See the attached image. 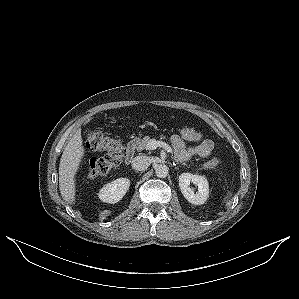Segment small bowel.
I'll return each instance as SVG.
<instances>
[{
    "label": "small bowel",
    "mask_w": 299,
    "mask_h": 299,
    "mask_svg": "<svg viewBox=\"0 0 299 299\" xmlns=\"http://www.w3.org/2000/svg\"><path fill=\"white\" fill-rule=\"evenodd\" d=\"M171 143L178 159L184 161L195 156H210L214 150V142L207 138H202L196 141L195 145L186 147L185 141L175 134L171 137Z\"/></svg>",
    "instance_id": "1"
}]
</instances>
